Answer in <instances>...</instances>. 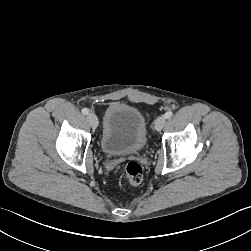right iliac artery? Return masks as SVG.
<instances>
[{
    "mask_svg": "<svg viewBox=\"0 0 251 251\" xmlns=\"http://www.w3.org/2000/svg\"><path fill=\"white\" fill-rule=\"evenodd\" d=\"M89 113V110L87 108L82 109V114L87 115Z\"/></svg>",
    "mask_w": 251,
    "mask_h": 251,
    "instance_id": "right-iliac-artery-1",
    "label": "right iliac artery"
}]
</instances>
